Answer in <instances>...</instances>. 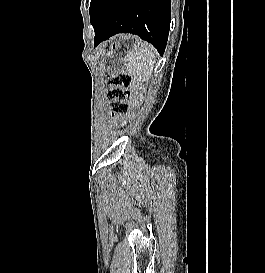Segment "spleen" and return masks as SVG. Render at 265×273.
<instances>
[{"mask_svg": "<svg viewBox=\"0 0 265 273\" xmlns=\"http://www.w3.org/2000/svg\"><path fill=\"white\" fill-rule=\"evenodd\" d=\"M155 55L151 45L145 42H138L129 54V73L144 81H149L152 76V69L155 63Z\"/></svg>", "mask_w": 265, "mask_h": 273, "instance_id": "1", "label": "spleen"}]
</instances>
